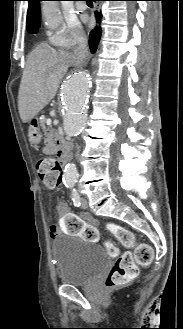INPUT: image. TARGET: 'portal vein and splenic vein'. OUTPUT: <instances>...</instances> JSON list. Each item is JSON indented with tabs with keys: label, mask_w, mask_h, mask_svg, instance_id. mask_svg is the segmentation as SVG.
I'll return each mask as SVG.
<instances>
[{
	"label": "portal vein and splenic vein",
	"mask_w": 183,
	"mask_h": 329,
	"mask_svg": "<svg viewBox=\"0 0 183 329\" xmlns=\"http://www.w3.org/2000/svg\"><path fill=\"white\" fill-rule=\"evenodd\" d=\"M47 125H51V119L46 120Z\"/></svg>",
	"instance_id": "portal-vein-and-splenic-vein-1"
}]
</instances>
